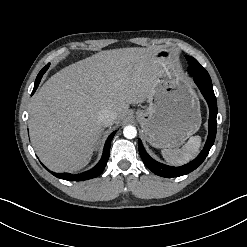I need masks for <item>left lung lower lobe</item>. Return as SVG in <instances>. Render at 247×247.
I'll use <instances>...</instances> for the list:
<instances>
[{
  "label": "left lung lower lobe",
  "mask_w": 247,
  "mask_h": 247,
  "mask_svg": "<svg viewBox=\"0 0 247 247\" xmlns=\"http://www.w3.org/2000/svg\"><path fill=\"white\" fill-rule=\"evenodd\" d=\"M188 72L190 75L193 76L194 81L198 88L200 89L202 95L206 99L210 114H209V134L208 138L205 144L204 149L201 151V153L190 163L183 165L181 167H171L164 164H161L154 159H152L145 151L142 142L139 140L138 149L139 154L145 163V165L156 175H159L161 177H179L185 174H189L196 168H198L202 162L207 157L211 147L214 144L215 136H216V129H217V101L216 97L213 91V86L211 82V78H202L199 75L195 73V70L191 67H189Z\"/></svg>",
  "instance_id": "0a47b994"
}]
</instances>
